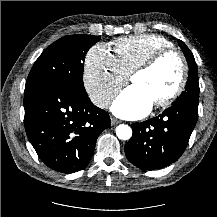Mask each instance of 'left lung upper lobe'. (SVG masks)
<instances>
[{
  "instance_id": "5c2ea615",
  "label": "left lung upper lobe",
  "mask_w": 217,
  "mask_h": 217,
  "mask_svg": "<svg viewBox=\"0 0 217 217\" xmlns=\"http://www.w3.org/2000/svg\"><path fill=\"white\" fill-rule=\"evenodd\" d=\"M178 44L182 49L189 67V76L185 86V90L182 92L180 98L176 101L187 100L195 103H199V83H198V70L194 56L185 43L178 40Z\"/></svg>"
}]
</instances>
